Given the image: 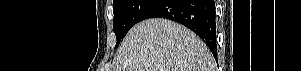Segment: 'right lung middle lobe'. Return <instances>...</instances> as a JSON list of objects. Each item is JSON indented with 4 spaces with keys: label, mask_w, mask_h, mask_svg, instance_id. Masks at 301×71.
Returning <instances> with one entry per match:
<instances>
[{
    "label": "right lung middle lobe",
    "mask_w": 301,
    "mask_h": 71,
    "mask_svg": "<svg viewBox=\"0 0 301 71\" xmlns=\"http://www.w3.org/2000/svg\"><path fill=\"white\" fill-rule=\"evenodd\" d=\"M155 0H114V32L117 38L116 47L127 32L136 23L140 22L143 12Z\"/></svg>",
    "instance_id": "right-lung-middle-lobe-1"
}]
</instances>
